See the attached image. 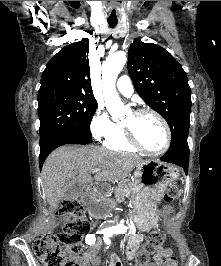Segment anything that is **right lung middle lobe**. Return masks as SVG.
<instances>
[{"mask_svg":"<svg viewBox=\"0 0 221 266\" xmlns=\"http://www.w3.org/2000/svg\"><path fill=\"white\" fill-rule=\"evenodd\" d=\"M40 146L62 135H77L92 139L90 123L96 110V100L84 94L46 89L38 92Z\"/></svg>","mask_w":221,"mask_h":266,"instance_id":"1","label":"right lung middle lobe"}]
</instances>
